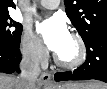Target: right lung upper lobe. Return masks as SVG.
Returning a JSON list of instances; mask_svg holds the SVG:
<instances>
[{
    "label": "right lung upper lobe",
    "instance_id": "1",
    "mask_svg": "<svg viewBox=\"0 0 107 89\" xmlns=\"http://www.w3.org/2000/svg\"><path fill=\"white\" fill-rule=\"evenodd\" d=\"M15 8L13 0H0V15L8 14V8Z\"/></svg>",
    "mask_w": 107,
    "mask_h": 89
}]
</instances>
